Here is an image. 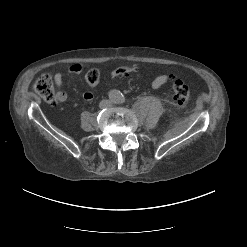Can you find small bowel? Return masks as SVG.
<instances>
[{"label":"small bowel","instance_id":"c3829d8e","mask_svg":"<svg viewBox=\"0 0 247 247\" xmlns=\"http://www.w3.org/2000/svg\"><path fill=\"white\" fill-rule=\"evenodd\" d=\"M135 68H127V67H120L113 71V76L115 77H122L128 74L130 71L134 70ZM83 72V66L80 64H73L68 71L70 76H76ZM65 73L62 71H56L54 74V81L56 86L58 87L59 91L57 93L58 101L63 102L66 100L67 95L64 91L61 90L65 78ZM169 75L162 74L157 76L152 81V88L157 90L165 85L169 80ZM83 97L86 101H91L93 99V94L90 91H86L83 94Z\"/></svg>","mask_w":247,"mask_h":247}]
</instances>
